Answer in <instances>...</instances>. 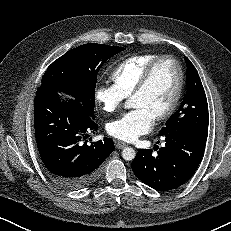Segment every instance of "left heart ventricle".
I'll return each mask as SVG.
<instances>
[{
  "mask_svg": "<svg viewBox=\"0 0 231 231\" xmlns=\"http://www.w3.org/2000/svg\"><path fill=\"white\" fill-rule=\"evenodd\" d=\"M178 74L170 60H163L155 67L150 81L143 92L131 98L133 107H144L154 117L163 112L172 101Z\"/></svg>",
  "mask_w": 231,
  "mask_h": 231,
  "instance_id": "1",
  "label": "left heart ventricle"
}]
</instances>
